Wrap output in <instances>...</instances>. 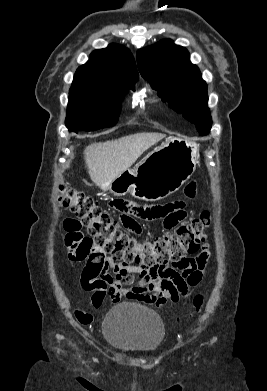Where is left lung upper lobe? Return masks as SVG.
<instances>
[{"mask_svg": "<svg viewBox=\"0 0 267 391\" xmlns=\"http://www.w3.org/2000/svg\"><path fill=\"white\" fill-rule=\"evenodd\" d=\"M138 68L163 101L194 123L200 135L209 133L212 119L207 107V85L188 51L165 39L138 50Z\"/></svg>", "mask_w": 267, "mask_h": 391, "instance_id": "obj_1", "label": "left lung upper lobe"}]
</instances>
